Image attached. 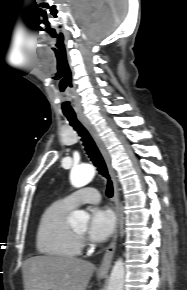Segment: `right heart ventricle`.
<instances>
[{"instance_id":"obj_1","label":"right heart ventricle","mask_w":187,"mask_h":290,"mask_svg":"<svg viewBox=\"0 0 187 290\" xmlns=\"http://www.w3.org/2000/svg\"><path fill=\"white\" fill-rule=\"evenodd\" d=\"M72 210L62 200L53 202L42 213L36 232L38 251L53 258H74L80 253V242L67 223Z\"/></svg>"}]
</instances>
